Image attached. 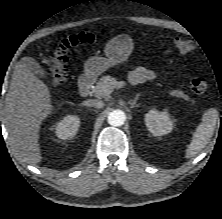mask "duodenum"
I'll return each instance as SVG.
<instances>
[{
	"mask_svg": "<svg viewBox=\"0 0 222 219\" xmlns=\"http://www.w3.org/2000/svg\"><path fill=\"white\" fill-rule=\"evenodd\" d=\"M93 77L91 75H82L78 80V91L80 95L87 96L91 90Z\"/></svg>",
	"mask_w": 222,
	"mask_h": 219,
	"instance_id": "1",
	"label": "duodenum"
}]
</instances>
